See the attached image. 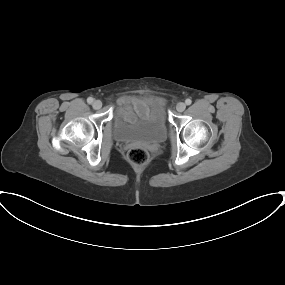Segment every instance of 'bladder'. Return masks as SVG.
<instances>
[{
  "label": "bladder",
  "mask_w": 285,
  "mask_h": 285,
  "mask_svg": "<svg viewBox=\"0 0 285 285\" xmlns=\"http://www.w3.org/2000/svg\"><path fill=\"white\" fill-rule=\"evenodd\" d=\"M130 103L119 106L114 116V137L119 142L142 141L161 143L166 139V115L164 105L155 101L146 111L132 117Z\"/></svg>",
  "instance_id": "obj_1"
}]
</instances>
